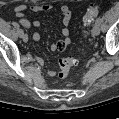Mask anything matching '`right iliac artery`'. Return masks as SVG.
<instances>
[{
	"mask_svg": "<svg viewBox=\"0 0 119 119\" xmlns=\"http://www.w3.org/2000/svg\"><path fill=\"white\" fill-rule=\"evenodd\" d=\"M23 34H24L23 29H19V35H20V37H22Z\"/></svg>",
	"mask_w": 119,
	"mask_h": 119,
	"instance_id": "obj_1",
	"label": "right iliac artery"
}]
</instances>
